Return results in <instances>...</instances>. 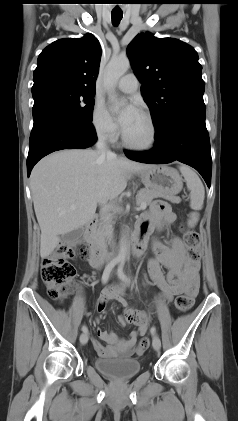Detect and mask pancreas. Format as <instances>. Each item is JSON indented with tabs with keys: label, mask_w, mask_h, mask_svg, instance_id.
<instances>
[{
	"label": "pancreas",
	"mask_w": 238,
	"mask_h": 421,
	"mask_svg": "<svg viewBox=\"0 0 238 421\" xmlns=\"http://www.w3.org/2000/svg\"><path fill=\"white\" fill-rule=\"evenodd\" d=\"M158 197L167 198L168 200H170L172 202H175V200H176V198L166 196L165 194H163V193H161V192H159L155 189H141L136 195V202L139 205L144 204V205L147 206L152 202V200L154 198H158ZM97 236L101 240L103 239L104 233H103V230H102L101 227L97 230Z\"/></svg>",
	"instance_id": "pancreas-1"
}]
</instances>
